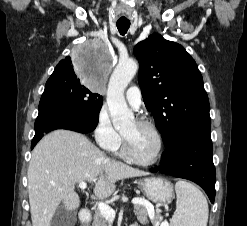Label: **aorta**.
<instances>
[{"label":"aorta","instance_id":"obj_1","mask_svg":"<svg viewBox=\"0 0 247 226\" xmlns=\"http://www.w3.org/2000/svg\"><path fill=\"white\" fill-rule=\"evenodd\" d=\"M137 70L138 64L136 61L132 59L121 60L110 77L106 100L116 129L131 124L134 119L133 113L125 101L124 91Z\"/></svg>","mask_w":247,"mask_h":226}]
</instances>
